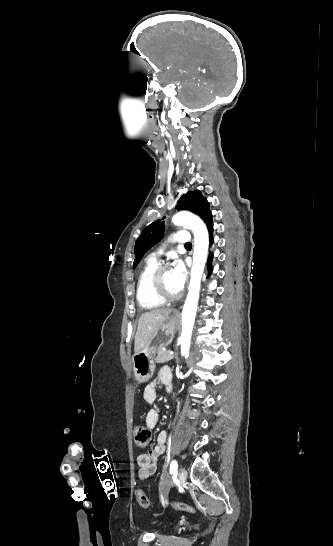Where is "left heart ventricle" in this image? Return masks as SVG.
I'll use <instances>...</instances> for the list:
<instances>
[{"label": "left heart ventricle", "instance_id": "1", "mask_svg": "<svg viewBox=\"0 0 333 546\" xmlns=\"http://www.w3.org/2000/svg\"><path fill=\"white\" fill-rule=\"evenodd\" d=\"M163 286H164V289L166 290V292L170 295H176L179 293V291L176 289L174 283H173V279H172V276H171V271L168 270L167 272H165V274L163 275Z\"/></svg>", "mask_w": 333, "mask_h": 546}]
</instances>
